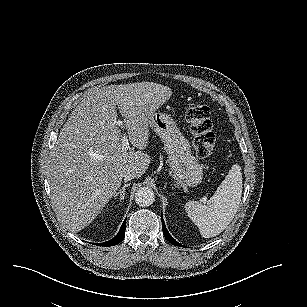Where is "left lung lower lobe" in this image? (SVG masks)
<instances>
[{
	"label": "left lung lower lobe",
	"instance_id": "left-lung-lower-lobe-1",
	"mask_svg": "<svg viewBox=\"0 0 307 307\" xmlns=\"http://www.w3.org/2000/svg\"><path fill=\"white\" fill-rule=\"evenodd\" d=\"M161 221H162V229H163V234L165 236V238L173 245L175 246H182L179 242H177L170 234L169 232L167 231L166 227H165V224H164V221H163V216L161 214Z\"/></svg>",
	"mask_w": 307,
	"mask_h": 307
}]
</instances>
